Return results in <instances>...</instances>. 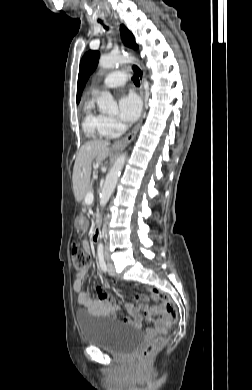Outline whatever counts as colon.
Wrapping results in <instances>:
<instances>
[{
	"mask_svg": "<svg viewBox=\"0 0 252 390\" xmlns=\"http://www.w3.org/2000/svg\"><path fill=\"white\" fill-rule=\"evenodd\" d=\"M71 258L73 268L77 273L85 270L91 261L89 254L77 244H74L72 247ZM150 293L153 298L159 299L163 302L164 309L168 315L169 320L172 323L176 322L178 318V311L173 300L168 295L158 289H151ZM163 343L164 338L157 337L154 340L145 344L139 352L140 361H148L152 357V355L162 347Z\"/></svg>",
	"mask_w": 252,
	"mask_h": 390,
	"instance_id": "5ec220e1",
	"label": "colon"
}]
</instances>
